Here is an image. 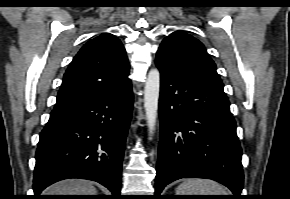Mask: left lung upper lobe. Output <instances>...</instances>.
<instances>
[{
	"instance_id": "5c2ea615",
	"label": "left lung upper lobe",
	"mask_w": 290,
	"mask_h": 199,
	"mask_svg": "<svg viewBox=\"0 0 290 199\" xmlns=\"http://www.w3.org/2000/svg\"><path fill=\"white\" fill-rule=\"evenodd\" d=\"M158 52L177 69L223 87L215 63L204 45L193 36L183 31H175L162 41Z\"/></svg>"
}]
</instances>
